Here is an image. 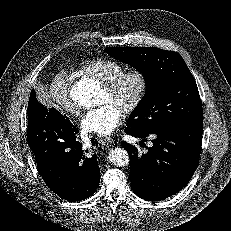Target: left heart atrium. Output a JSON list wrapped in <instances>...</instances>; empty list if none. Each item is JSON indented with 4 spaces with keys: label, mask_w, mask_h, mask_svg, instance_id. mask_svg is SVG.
Here are the masks:
<instances>
[{
    "label": "left heart atrium",
    "mask_w": 231,
    "mask_h": 231,
    "mask_svg": "<svg viewBox=\"0 0 231 231\" xmlns=\"http://www.w3.org/2000/svg\"><path fill=\"white\" fill-rule=\"evenodd\" d=\"M122 119V108L108 101L96 109L89 110L82 117L80 125L84 132L108 135L120 125Z\"/></svg>",
    "instance_id": "left-heart-atrium-1"
}]
</instances>
